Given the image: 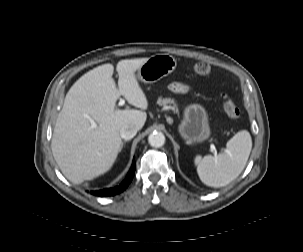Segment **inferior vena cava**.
Returning <instances> with one entry per match:
<instances>
[{"mask_svg": "<svg viewBox=\"0 0 303 252\" xmlns=\"http://www.w3.org/2000/svg\"><path fill=\"white\" fill-rule=\"evenodd\" d=\"M137 131L138 129L135 126H123L120 129V136L125 140H130L136 135Z\"/></svg>", "mask_w": 303, "mask_h": 252, "instance_id": "602c4592", "label": "inferior vena cava"}]
</instances>
